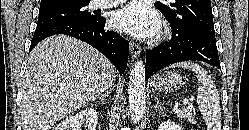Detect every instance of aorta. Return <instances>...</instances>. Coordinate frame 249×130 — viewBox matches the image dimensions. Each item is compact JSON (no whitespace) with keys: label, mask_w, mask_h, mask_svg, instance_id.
Masks as SVG:
<instances>
[{"label":"aorta","mask_w":249,"mask_h":130,"mask_svg":"<svg viewBox=\"0 0 249 130\" xmlns=\"http://www.w3.org/2000/svg\"><path fill=\"white\" fill-rule=\"evenodd\" d=\"M129 112L134 124L141 121L146 105L145 66L137 60L130 71L128 86Z\"/></svg>","instance_id":"obj_1"}]
</instances>
